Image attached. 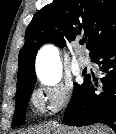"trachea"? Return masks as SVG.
Instances as JSON below:
<instances>
[{"label":"trachea","instance_id":"3493384b","mask_svg":"<svg viewBox=\"0 0 116 134\" xmlns=\"http://www.w3.org/2000/svg\"><path fill=\"white\" fill-rule=\"evenodd\" d=\"M84 43H85V41H83V40H82V41H80V44H81V45H83Z\"/></svg>","mask_w":116,"mask_h":134}]
</instances>
